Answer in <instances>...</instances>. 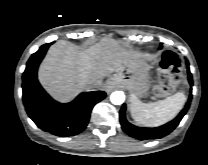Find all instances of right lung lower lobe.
Here are the masks:
<instances>
[{"label": "right lung lower lobe", "mask_w": 208, "mask_h": 165, "mask_svg": "<svg viewBox=\"0 0 208 165\" xmlns=\"http://www.w3.org/2000/svg\"><path fill=\"white\" fill-rule=\"evenodd\" d=\"M51 44L41 46L27 62L22 77L23 103L28 116L42 130L61 137L77 135L86 128L93 107L106 97V93H81L68 104L53 100L37 80L38 66Z\"/></svg>", "instance_id": "98d812e1"}]
</instances>
